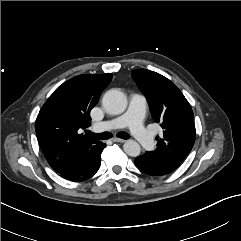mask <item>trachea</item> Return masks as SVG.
<instances>
[{
    "label": "trachea",
    "mask_w": 241,
    "mask_h": 241,
    "mask_svg": "<svg viewBox=\"0 0 241 241\" xmlns=\"http://www.w3.org/2000/svg\"><path fill=\"white\" fill-rule=\"evenodd\" d=\"M87 136L92 137L96 140H107L112 137V134L109 132H103V133H99V134L87 132ZM117 137L126 140V139L130 138V135L126 132H119V133H117Z\"/></svg>",
    "instance_id": "trachea-1"
}]
</instances>
